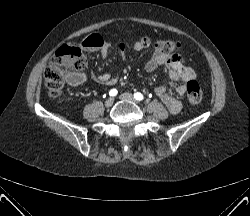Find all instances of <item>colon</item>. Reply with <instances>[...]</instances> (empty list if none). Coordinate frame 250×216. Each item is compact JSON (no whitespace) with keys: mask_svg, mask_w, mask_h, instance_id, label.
Segmentation results:
<instances>
[{"mask_svg":"<svg viewBox=\"0 0 250 216\" xmlns=\"http://www.w3.org/2000/svg\"><path fill=\"white\" fill-rule=\"evenodd\" d=\"M142 47L153 46L155 49L171 53L179 47V43L172 40L151 41L147 37L141 38ZM86 66L81 49L76 45H64L60 47L51 58L44 71L45 84L49 94L57 97L62 93L65 81ZM187 100L191 104H199L203 98V92L197 81L190 80L186 84Z\"/></svg>","mask_w":250,"mask_h":216,"instance_id":"1","label":"colon"}]
</instances>
